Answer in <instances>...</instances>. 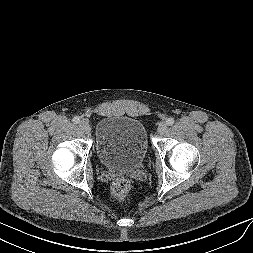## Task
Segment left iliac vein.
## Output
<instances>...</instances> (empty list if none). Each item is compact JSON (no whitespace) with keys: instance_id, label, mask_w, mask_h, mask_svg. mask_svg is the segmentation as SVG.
Returning a JSON list of instances; mask_svg holds the SVG:
<instances>
[{"instance_id":"4c4485c4","label":"left iliac vein","mask_w":253,"mask_h":253,"mask_svg":"<svg viewBox=\"0 0 253 253\" xmlns=\"http://www.w3.org/2000/svg\"><path fill=\"white\" fill-rule=\"evenodd\" d=\"M167 128H168L167 123L161 122L157 128L158 134L160 135L164 134L167 131Z\"/></svg>"}]
</instances>
